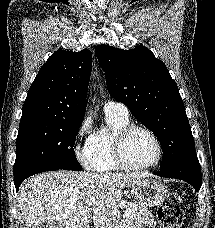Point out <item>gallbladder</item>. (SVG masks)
<instances>
[{"mask_svg": "<svg viewBox=\"0 0 215 228\" xmlns=\"http://www.w3.org/2000/svg\"><path fill=\"white\" fill-rule=\"evenodd\" d=\"M41 228H48V226H41Z\"/></svg>", "mask_w": 215, "mask_h": 228, "instance_id": "gallbladder-1", "label": "gallbladder"}]
</instances>
